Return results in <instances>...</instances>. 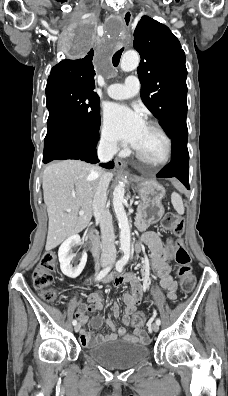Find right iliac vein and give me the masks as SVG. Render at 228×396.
I'll return each instance as SVG.
<instances>
[{
  "label": "right iliac vein",
  "instance_id": "63e3f726",
  "mask_svg": "<svg viewBox=\"0 0 228 396\" xmlns=\"http://www.w3.org/2000/svg\"><path fill=\"white\" fill-rule=\"evenodd\" d=\"M107 264H108V262H102L101 265H102L103 267H105ZM80 327H81L80 324H76V325L74 326V331H75V332H78V331L80 330Z\"/></svg>",
  "mask_w": 228,
  "mask_h": 396
}]
</instances>
